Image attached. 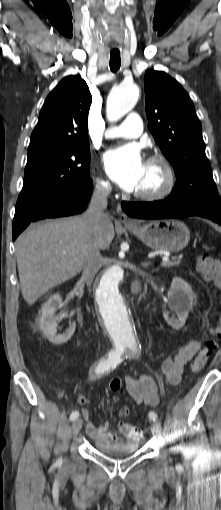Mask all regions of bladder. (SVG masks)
Wrapping results in <instances>:
<instances>
[{
  "label": "bladder",
  "mask_w": 221,
  "mask_h": 510,
  "mask_svg": "<svg viewBox=\"0 0 221 510\" xmlns=\"http://www.w3.org/2000/svg\"><path fill=\"white\" fill-rule=\"evenodd\" d=\"M96 449L108 456L113 458H122L129 456L138 451L139 445L135 440L132 441H122V442H96Z\"/></svg>",
  "instance_id": "bladder-1"
}]
</instances>
